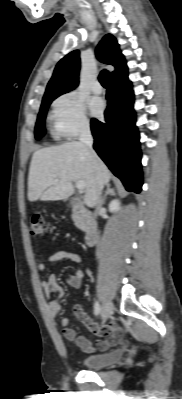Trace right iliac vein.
<instances>
[{"label": "right iliac vein", "mask_w": 182, "mask_h": 399, "mask_svg": "<svg viewBox=\"0 0 182 399\" xmlns=\"http://www.w3.org/2000/svg\"><path fill=\"white\" fill-rule=\"evenodd\" d=\"M112 311H113L112 303L110 301H105L102 306V312H101L102 320L106 321L112 315Z\"/></svg>", "instance_id": "63e3f726"}]
</instances>
